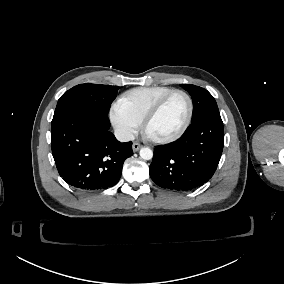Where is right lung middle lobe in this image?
I'll return each instance as SVG.
<instances>
[{
  "mask_svg": "<svg viewBox=\"0 0 284 284\" xmlns=\"http://www.w3.org/2000/svg\"><path fill=\"white\" fill-rule=\"evenodd\" d=\"M118 86L80 84L66 91L58 100L53 119L75 108H90L108 114Z\"/></svg>",
  "mask_w": 284,
  "mask_h": 284,
  "instance_id": "dd1d6c3e",
  "label": "right lung middle lobe"
}]
</instances>
